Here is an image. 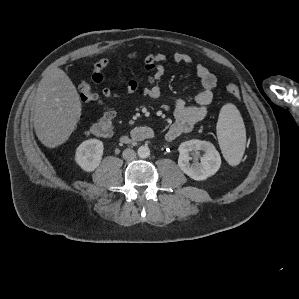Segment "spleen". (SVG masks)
Instances as JSON below:
<instances>
[{
    "label": "spleen",
    "mask_w": 299,
    "mask_h": 299,
    "mask_svg": "<svg viewBox=\"0 0 299 299\" xmlns=\"http://www.w3.org/2000/svg\"><path fill=\"white\" fill-rule=\"evenodd\" d=\"M217 136L223 155L227 162L239 164L245 150L246 131L243 119L235 105L225 104L217 122Z\"/></svg>",
    "instance_id": "3e777b00"
}]
</instances>
